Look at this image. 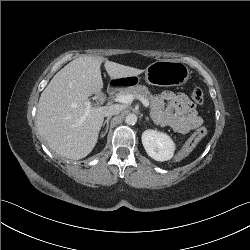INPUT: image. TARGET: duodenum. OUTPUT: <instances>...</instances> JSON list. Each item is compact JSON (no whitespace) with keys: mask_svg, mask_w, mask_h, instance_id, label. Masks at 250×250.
I'll return each instance as SVG.
<instances>
[{"mask_svg":"<svg viewBox=\"0 0 250 250\" xmlns=\"http://www.w3.org/2000/svg\"><path fill=\"white\" fill-rule=\"evenodd\" d=\"M120 85H122L121 81H116V82L112 83V84L110 85V87L108 88V92H109V93H113V92L115 91V89H116L118 86H120Z\"/></svg>","mask_w":250,"mask_h":250,"instance_id":"obj_1","label":"duodenum"}]
</instances>
